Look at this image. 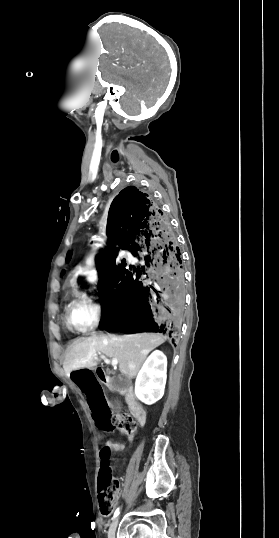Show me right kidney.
<instances>
[{"label":"right kidney","mask_w":279,"mask_h":538,"mask_svg":"<svg viewBox=\"0 0 279 538\" xmlns=\"http://www.w3.org/2000/svg\"><path fill=\"white\" fill-rule=\"evenodd\" d=\"M167 358L160 350L144 362L135 382V396L144 404H155L162 398L166 384Z\"/></svg>","instance_id":"1"}]
</instances>
